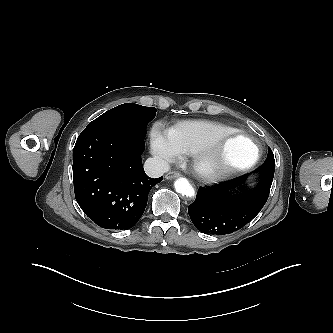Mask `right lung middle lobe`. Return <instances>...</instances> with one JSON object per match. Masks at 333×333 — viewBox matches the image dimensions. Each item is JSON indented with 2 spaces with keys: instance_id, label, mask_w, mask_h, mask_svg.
Listing matches in <instances>:
<instances>
[{
  "instance_id": "obj_1",
  "label": "right lung middle lobe",
  "mask_w": 333,
  "mask_h": 333,
  "mask_svg": "<svg viewBox=\"0 0 333 333\" xmlns=\"http://www.w3.org/2000/svg\"><path fill=\"white\" fill-rule=\"evenodd\" d=\"M156 111L154 107L133 103L122 104L93 120L84 131H119L144 137L146 126L154 119Z\"/></svg>"
}]
</instances>
